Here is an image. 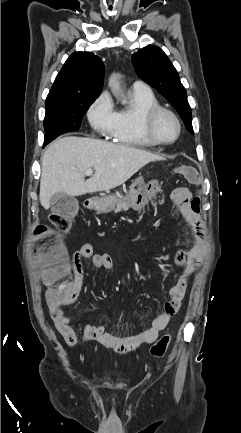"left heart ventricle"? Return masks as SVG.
Listing matches in <instances>:
<instances>
[{
	"mask_svg": "<svg viewBox=\"0 0 241 433\" xmlns=\"http://www.w3.org/2000/svg\"><path fill=\"white\" fill-rule=\"evenodd\" d=\"M155 133L162 140H172L177 134L175 121L167 114L161 115L156 121Z\"/></svg>",
	"mask_w": 241,
	"mask_h": 433,
	"instance_id": "b2bd125f",
	"label": "left heart ventricle"
}]
</instances>
